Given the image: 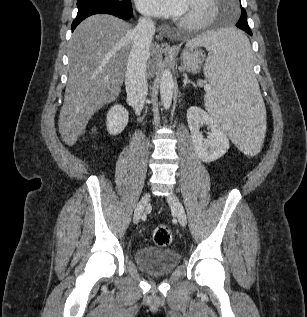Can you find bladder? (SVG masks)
I'll return each mask as SVG.
<instances>
[{"label": "bladder", "instance_id": "1", "mask_svg": "<svg viewBox=\"0 0 307 317\" xmlns=\"http://www.w3.org/2000/svg\"><path fill=\"white\" fill-rule=\"evenodd\" d=\"M137 266L146 274L159 276L169 274L180 263V255L173 249L140 247L135 252Z\"/></svg>", "mask_w": 307, "mask_h": 317}]
</instances>
